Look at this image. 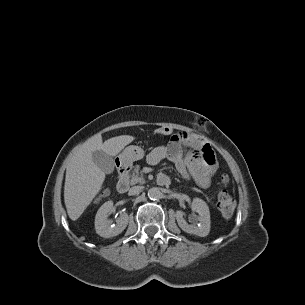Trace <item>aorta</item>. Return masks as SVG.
I'll return each mask as SVG.
<instances>
[{
  "label": "aorta",
  "instance_id": "762f6f07",
  "mask_svg": "<svg viewBox=\"0 0 305 305\" xmlns=\"http://www.w3.org/2000/svg\"><path fill=\"white\" fill-rule=\"evenodd\" d=\"M148 197L151 200H157L161 198V191L157 187H152L148 190Z\"/></svg>",
  "mask_w": 305,
  "mask_h": 305
}]
</instances>
